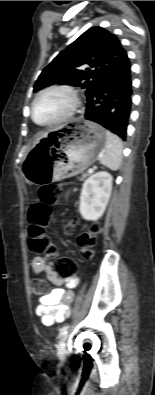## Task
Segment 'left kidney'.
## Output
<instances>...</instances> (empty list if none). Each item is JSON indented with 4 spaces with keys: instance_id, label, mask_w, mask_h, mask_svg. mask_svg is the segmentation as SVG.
<instances>
[{
    "instance_id": "obj_1",
    "label": "left kidney",
    "mask_w": 155,
    "mask_h": 395,
    "mask_svg": "<svg viewBox=\"0 0 155 395\" xmlns=\"http://www.w3.org/2000/svg\"><path fill=\"white\" fill-rule=\"evenodd\" d=\"M113 178L108 172H97L85 180L80 195L79 211L90 221L102 217L112 190Z\"/></svg>"
}]
</instances>
